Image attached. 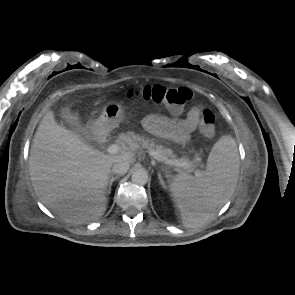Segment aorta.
<instances>
[{"mask_svg": "<svg viewBox=\"0 0 295 295\" xmlns=\"http://www.w3.org/2000/svg\"><path fill=\"white\" fill-rule=\"evenodd\" d=\"M132 182L138 185H145L148 181V172L145 169H137L132 174Z\"/></svg>", "mask_w": 295, "mask_h": 295, "instance_id": "1", "label": "aorta"}]
</instances>
